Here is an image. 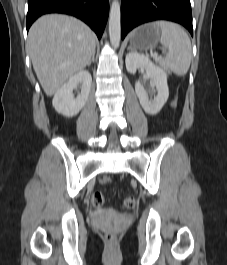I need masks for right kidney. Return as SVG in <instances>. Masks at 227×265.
<instances>
[{"label": "right kidney", "instance_id": "right-kidney-1", "mask_svg": "<svg viewBox=\"0 0 227 265\" xmlns=\"http://www.w3.org/2000/svg\"><path fill=\"white\" fill-rule=\"evenodd\" d=\"M91 74L82 70L74 74L70 79L55 93L52 104L55 110L66 117L77 115L88 100L91 89ZM81 84V93L74 98L73 90Z\"/></svg>", "mask_w": 227, "mask_h": 265}]
</instances>
